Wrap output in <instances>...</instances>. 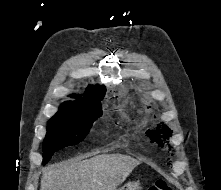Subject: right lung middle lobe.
<instances>
[{
  "label": "right lung middle lobe",
  "instance_id": "right-lung-middle-lobe-1",
  "mask_svg": "<svg viewBox=\"0 0 221 190\" xmlns=\"http://www.w3.org/2000/svg\"><path fill=\"white\" fill-rule=\"evenodd\" d=\"M101 114L100 101L58 111L47 123V134L43 142V164L50 160L54 152L81 142Z\"/></svg>",
  "mask_w": 221,
  "mask_h": 190
}]
</instances>
